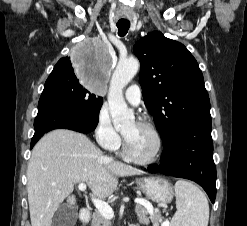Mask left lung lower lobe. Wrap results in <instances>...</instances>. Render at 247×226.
<instances>
[{
	"label": "left lung lower lobe",
	"mask_w": 247,
	"mask_h": 226,
	"mask_svg": "<svg viewBox=\"0 0 247 226\" xmlns=\"http://www.w3.org/2000/svg\"><path fill=\"white\" fill-rule=\"evenodd\" d=\"M160 165L150 173L190 179L203 187L212 203L216 196V167L213 161L211 119L186 126L170 143L164 145Z\"/></svg>",
	"instance_id": "1"
}]
</instances>
